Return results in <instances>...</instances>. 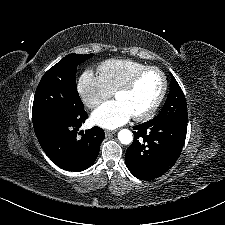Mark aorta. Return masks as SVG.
Here are the masks:
<instances>
[{"label": "aorta", "mask_w": 225, "mask_h": 225, "mask_svg": "<svg viewBox=\"0 0 225 225\" xmlns=\"http://www.w3.org/2000/svg\"><path fill=\"white\" fill-rule=\"evenodd\" d=\"M118 139L122 144L128 145L133 141V134L128 129H122L118 133Z\"/></svg>", "instance_id": "aorta-1"}]
</instances>
